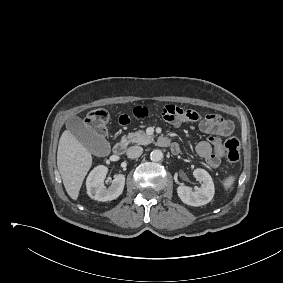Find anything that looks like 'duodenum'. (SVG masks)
Instances as JSON below:
<instances>
[{
    "label": "duodenum",
    "mask_w": 283,
    "mask_h": 283,
    "mask_svg": "<svg viewBox=\"0 0 283 283\" xmlns=\"http://www.w3.org/2000/svg\"><path fill=\"white\" fill-rule=\"evenodd\" d=\"M158 144L162 147L170 146L173 153H178L179 150L174 143H171L167 137H161L158 140ZM127 150V144L125 142H118L113 147V154L117 157L123 156Z\"/></svg>",
    "instance_id": "1"
}]
</instances>
